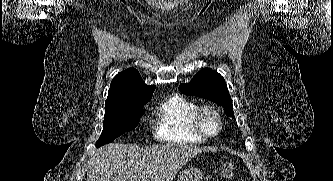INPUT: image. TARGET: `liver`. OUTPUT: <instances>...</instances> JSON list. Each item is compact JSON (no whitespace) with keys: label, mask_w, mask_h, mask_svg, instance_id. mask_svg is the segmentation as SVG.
<instances>
[{"label":"liver","mask_w":333,"mask_h":181,"mask_svg":"<svg viewBox=\"0 0 333 181\" xmlns=\"http://www.w3.org/2000/svg\"><path fill=\"white\" fill-rule=\"evenodd\" d=\"M205 151L192 145L139 148L110 143L99 148L91 158L87 181H173L187 162Z\"/></svg>","instance_id":"obj_1"}]
</instances>
